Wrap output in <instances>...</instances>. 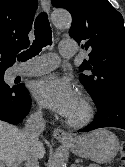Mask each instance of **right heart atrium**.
I'll use <instances>...</instances> for the list:
<instances>
[{
  "label": "right heart atrium",
  "mask_w": 125,
  "mask_h": 167,
  "mask_svg": "<svg viewBox=\"0 0 125 167\" xmlns=\"http://www.w3.org/2000/svg\"><path fill=\"white\" fill-rule=\"evenodd\" d=\"M37 114H38V115L40 114V111H39V110L37 111Z\"/></svg>",
  "instance_id": "right-heart-atrium-1"
}]
</instances>
